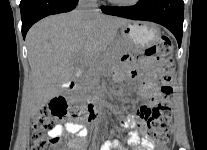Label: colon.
I'll return each mask as SVG.
<instances>
[{
    "instance_id": "5ec220e1",
    "label": "colon",
    "mask_w": 207,
    "mask_h": 150,
    "mask_svg": "<svg viewBox=\"0 0 207 150\" xmlns=\"http://www.w3.org/2000/svg\"><path fill=\"white\" fill-rule=\"evenodd\" d=\"M172 50V44L167 36L148 49L147 55L157 60L156 72L160 84L162 97L157 105L149 111L147 116L148 132L146 141L149 144L166 146L172 131L173 107L171 103L172 77L174 63L167 58ZM50 107L40 110L32 121V147L31 150H65L59 138L51 137L49 131L57 126L59 121L66 119L69 114L66 108L67 100H50ZM74 118L77 116L70 113Z\"/></svg>"
}]
</instances>
